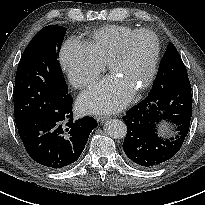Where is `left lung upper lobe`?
I'll list each match as a JSON object with an SVG mask.
<instances>
[{
	"label": "left lung upper lobe",
	"instance_id": "obj_1",
	"mask_svg": "<svg viewBox=\"0 0 205 205\" xmlns=\"http://www.w3.org/2000/svg\"><path fill=\"white\" fill-rule=\"evenodd\" d=\"M181 77H188L186 67L175 46L169 43L152 88L165 85Z\"/></svg>",
	"mask_w": 205,
	"mask_h": 205
}]
</instances>
